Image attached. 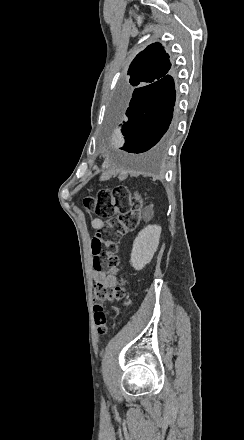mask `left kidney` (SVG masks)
Masks as SVG:
<instances>
[{
    "instance_id": "5707ae66",
    "label": "left kidney",
    "mask_w": 244,
    "mask_h": 440,
    "mask_svg": "<svg viewBox=\"0 0 244 440\" xmlns=\"http://www.w3.org/2000/svg\"><path fill=\"white\" fill-rule=\"evenodd\" d=\"M161 234V226H146L139 232L133 242L131 252V266L135 270H143L146 264L151 262L158 246Z\"/></svg>"
}]
</instances>
